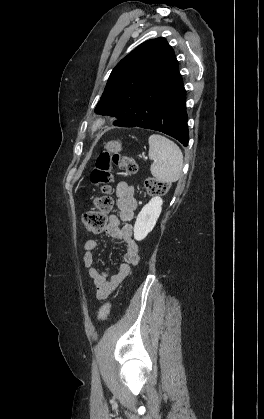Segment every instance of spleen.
<instances>
[{
    "mask_svg": "<svg viewBox=\"0 0 264 419\" xmlns=\"http://www.w3.org/2000/svg\"><path fill=\"white\" fill-rule=\"evenodd\" d=\"M149 158L153 161L151 174L161 182H176L183 168V154L173 141L165 136L152 134L148 139Z\"/></svg>",
    "mask_w": 264,
    "mask_h": 419,
    "instance_id": "spleen-1",
    "label": "spleen"
}]
</instances>
